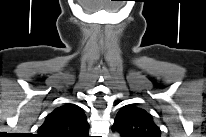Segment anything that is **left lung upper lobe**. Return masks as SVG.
<instances>
[{"mask_svg": "<svg viewBox=\"0 0 206 137\" xmlns=\"http://www.w3.org/2000/svg\"><path fill=\"white\" fill-rule=\"evenodd\" d=\"M112 129L122 137H160L151 114L135 105H127L117 113Z\"/></svg>", "mask_w": 206, "mask_h": 137, "instance_id": "left-lung-upper-lobe-1", "label": "left lung upper lobe"}]
</instances>
